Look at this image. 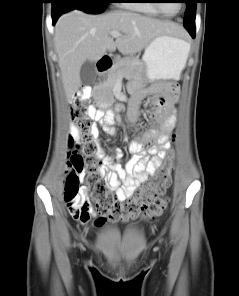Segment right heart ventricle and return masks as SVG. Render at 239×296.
Masks as SVG:
<instances>
[{"label":"right heart ventricle","instance_id":"1","mask_svg":"<svg viewBox=\"0 0 239 296\" xmlns=\"http://www.w3.org/2000/svg\"><path fill=\"white\" fill-rule=\"evenodd\" d=\"M133 3H122L123 6L150 15H160V12L151 3V0H131Z\"/></svg>","mask_w":239,"mask_h":296}]
</instances>
